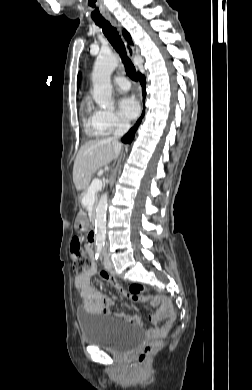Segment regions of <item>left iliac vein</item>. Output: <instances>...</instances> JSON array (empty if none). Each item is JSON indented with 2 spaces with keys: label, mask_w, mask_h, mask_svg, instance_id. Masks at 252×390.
Returning <instances> with one entry per match:
<instances>
[{
  "label": "left iliac vein",
  "mask_w": 252,
  "mask_h": 390,
  "mask_svg": "<svg viewBox=\"0 0 252 390\" xmlns=\"http://www.w3.org/2000/svg\"><path fill=\"white\" fill-rule=\"evenodd\" d=\"M103 264H104V267H105L107 270H111V269H112V262H111L109 256L106 255L105 252H104V261H103Z\"/></svg>",
  "instance_id": "obj_1"
}]
</instances>
